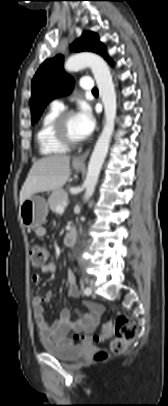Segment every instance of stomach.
<instances>
[{
    "instance_id": "0dacf381",
    "label": "stomach",
    "mask_w": 168,
    "mask_h": 406,
    "mask_svg": "<svg viewBox=\"0 0 168 406\" xmlns=\"http://www.w3.org/2000/svg\"><path fill=\"white\" fill-rule=\"evenodd\" d=\"M75 170L79 171L83 168L82 165L73 163ZM48 214V204L46 200L40 196H31L25 200L19 208V216L22 224L28 229H35L41 226Z\"/></svg>"
}]
</instances>
